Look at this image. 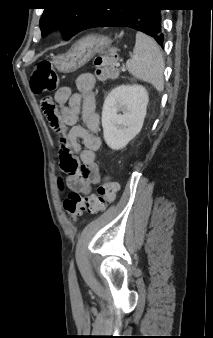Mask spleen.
<instances>
[{
  "mask_svg": "<svg viewBox=\"0 0 213 338\" xmlns=\"http://www.w3.org/2000/svg\"><path fill=\"white\" fill-rule=\"evenodd\" d=\"M126 67L136 79L150 83L161 92L164 89V59L157 43L142 32L136 33L133 56Z\"/></svg>",
  "mask_w": 213,
  "mask_h": 338,
  "instance_id": "3e777b00",
  "label": "spleen"
}]
</instances>
